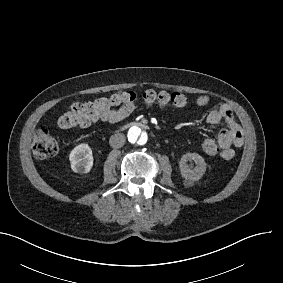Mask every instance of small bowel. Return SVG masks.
Instances as JSON below:
<instances>
[{
  "mask_svg": "<svg viewBox=\"0 0 283 283\" xmlns=\"http://www.w3.org/2000/svg\"><path fill=\"white\" fill-rule=\"evenodd\" d=\"M128 92L119 90L114 93L113 97L119 98ZM199 106H208L211 103L210 97L200 95L196 99ZM134 109V105L125 104L119 108H107L101 115V120L108 123H118L127 118ZM206 122L210 125L223 123L225 129L218 134V140L221 142L220 158L229 161L235 156V147H240L244 143L243 131L239 123L236 121L231 107L228 104L220 103L212 109L206 116Z\"/></svg>",
  "mask_w": 283,
  "mask_h": 283,
  "instance_id": "obj_1",
  "label": "small bowel"
}]
</instances>
